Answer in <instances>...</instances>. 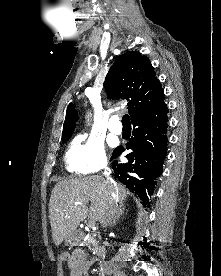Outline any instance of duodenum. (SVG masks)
Wrapping results in <instances>:
<instances>
[{
	"instance_id": "duodenum-1",
	"label": "duodenum",
	"mask_w": 221,
	"mask_h": 276,
	"mask_svg": "<svg viewBox=\"0 0 221 276\" xmlns=\"http://www.w3.org/2000/svg\"><path fill=\"white\" fill-rule=\"evenodd\" d=\"M104 254V248L102 246H97L94 248V255L100 257Z\"/></svg>"
}]
</instances>
